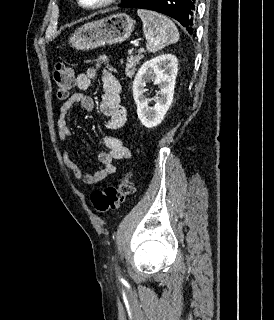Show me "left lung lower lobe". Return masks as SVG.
Instances as JSON below:
<instances>
[{"label": "left lung lower lobe", "instance_id": "0a47b994", "mask_svg": "<svg viewBox=\"0 0 274 320\" xmlns=\"http://www.w3.org/2000/svg\"><path fill=\"white\" fill-rule=\"evenodd\" d=\"M195 4V0H127L119 7L142 8L161 12L179 21L192 34Z\"/></svg>", "mask_w": 274, "mask_h": 320}]
</instances>
